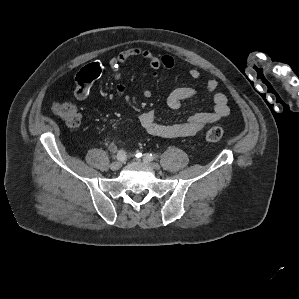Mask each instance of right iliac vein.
Returning <instances> with one entry per match:
<instances>
[{
	"mask_svg": "<svg viewBox=\"0 0 299 299\" xmlns=\"http://www.w3.org/2000/svg\"><path fill=\"white\" fill-rule=\"evenodd\" d=\"M121 166H122L121 162L116 161V162L111 163L110 168L113 171H117V170H119L121 168Z\"/></svg>",
	"mask_w": 299,
	"mask_h": 299,
	"instance_id": "right-iliac-vein-1",
	"label": "right iliac vein"
}]
</instances>
